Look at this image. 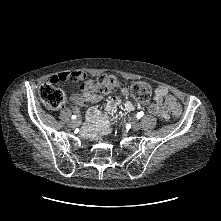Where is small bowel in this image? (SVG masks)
<instances>
[{"label":"small bowel","instance_id":"small-bowel-1","mask_svg":"<svg viewBox=\"0 0 221 221\" xmlns=\"http://www.w3.org/2000/svg\"><path fill=\"white\" fill-rule=\"evenodd\" d=\"M85 78V74L80 73L77 70L72 72L60 73L56 76L49 77V83L51 85H58L66 82L77 83L81 79ZM124 95L128 94L126 88L122 89ZM173 97L168 93V90L164 86H158L154 89L153 103L149 106V112L157 117L168 119L169 108L166 104V99ZM74 110L78 112L80 106H84L88 103L98 102L101 98L100 94L95 90V83L93 81L86 82V88L79 95H74ZM174 98V97H173ZM121 101L118 97H110L105 105V113H101L97 108H91L86 114V130L90 137L97 140H102L103 136L108 135L112 131V115L119 107ZM124 108L127 112H133L136 109V105L132 101H127L124 104Z\"/></svg>","mask_w":221,"mask_h":221}]
</instances>
